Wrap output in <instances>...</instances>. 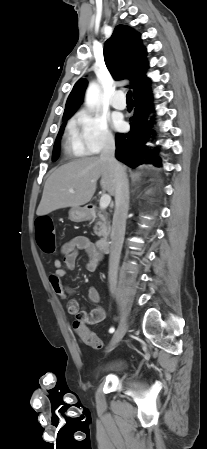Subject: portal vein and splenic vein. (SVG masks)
I'll use <instances>...</instances> for the list:
<instances>
[{
  "label": "portal vein and splenic vein",
  "mask_w": 207,
  "mask_h": 449,
  "mask_svg": "<svg viewBox=\"0 0 207 449\" xmlns=\"http://www.w3.org/2000/svg\"><path fill=\"white\" fill-rule=\"evenodd\" d=\"M71 192L73 193V190H71ZM111 202V196L109 194H103L100 198V208L101 209H105L109 206Z\"/></svg>",
  "instance_id": "1"
}]
</instances>
